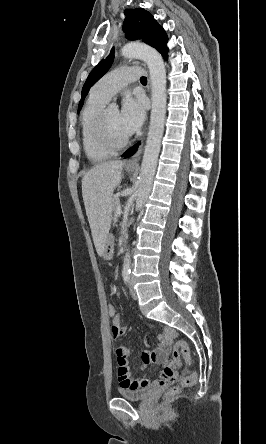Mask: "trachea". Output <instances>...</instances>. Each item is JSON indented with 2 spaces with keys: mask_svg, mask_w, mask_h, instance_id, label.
<instances>
[{
  "mask_svg": "<svg viewBox=\"0 0 266 444\" xmlns=\"http://www.w3.org/2000/svg\"><path fill=\"white\" fill-rule=\"evenodd\" d=\"M140 81H141V82H147V78H146L145 76H142V77L140 78Z\"/></svg>",
  "mask_w": 266,
  "mask_h": 444,
  "instance_id": "3493384b",
  "label": "trachea"
}]
</instances>
